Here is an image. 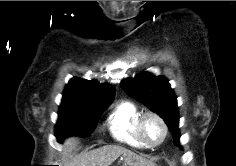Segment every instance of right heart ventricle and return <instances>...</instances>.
Here are the masks:
<instances>
[{
  "mask_svg": "<svg viewBox=\"0 0 236 166\" xmlns=\"http://www.w3.org/2000/svg\"><path fill=\"white\" fill-rule=\"evenodd\" d=\"M142 109L132 101L118 102L109 113L106 124L112 137L133 148L146 147L137 134V121Z\"/></svg>",
  "mask_w": 236,
  "mask_h": 166,
  "instance_id": "right-heart-ventricle-1",
  "label": "right heart ventricle"
}]
</instances>
